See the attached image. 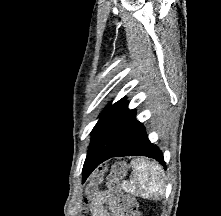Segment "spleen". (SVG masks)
<instances>
[{
  "instance_id": "3e777b00",
  "label": "spleen",
  "mask_w": 221,
  "mask_h": 216,
  "mask_svg": "<svg viewBox=\"0 0 221 216\" xmlns=\"http://www.w3.org/2000/svg\"><path fill=\"white\" fill-rule=\"evenodd\" d=\"M133 181L125 185L131 191L143 198L162 197L165 194L163 169L156 162L140 158L132 162Z\"/></svg>"
}]
</instances>
